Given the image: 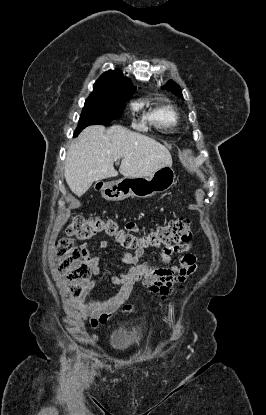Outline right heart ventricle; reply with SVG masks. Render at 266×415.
Masks as SVG:
<instances>
[{"instance_id": "right-heart-ventricle-1", "label": "right heart ventricle", "mask_w": 266, "mask_h": 415, "mask_svg": "<svg viewBox=\"0 0 266 415\" xmlns=\"http://www.w3.org/2000/svg\"><path fill=\"white\" fill-rule=\"evenodd\" d=\"M145 118L148 122L158 127L171 128L176 125L178 115L172 106L162 104L151 109Z\"/></svg>"}]
</instances>
